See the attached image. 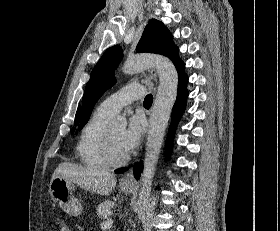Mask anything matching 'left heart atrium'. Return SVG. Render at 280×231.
<instances>
[{
    "mask_svg": "<svg viewBox=\"0 0 280 231\" xmlns=\"http://www.w3.org/2000/svg\"><path fill=\"white\" fill-rule=\"evenodd\" d=\"M142 137L141 120L138 117L131 118L127 127L119 136V147L124 154L131 153L140 143Z\"/></svg>",
    "mask_w": 280,
    "mask_h": 231,
    "instance_id": "39dd6f15",
    "label": "left heart atrium"
}]
</instances>
